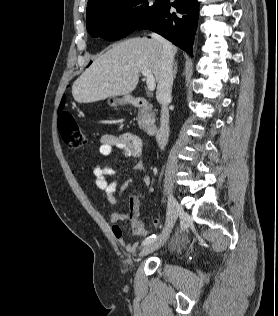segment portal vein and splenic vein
Segmentation results:
<instances>
[{
  "label": "portal vein and splenic vein",
  "mask_w": 278,
  "mask_h": 316,
  "mask_svg": "<svg viewBox=\"0 0 278 316\" xmlns=\"http://www.w3.org/2000/svg\"><path fill=\"white\" fill-rule=\"evenodd\" d=\"M141 73L146 77V84L149 91H153L156 87L155 78L152 72L148 69H144Z\"/></svg>",
  "instance_id": "1"
}]
</instances>
